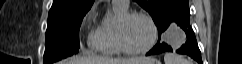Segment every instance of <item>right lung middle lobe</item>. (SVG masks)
Instances as JSON below:
<instances>
[{"instance_id":"obj_1","label":"right lung middle lobe","mask_w":242,"mask_h":64,"mask_svg":"<svg viewBox=\"0 0 242 64\" xmlns=\"http://www.w3.org/2000/svg\"><path fill=\"white\" fill-rule=\"evenodd\" d=\"M86 13L48 18L44 64H52L55 61L78 53L80 48L79 29Z\"/></svg>"}]
</instances>
